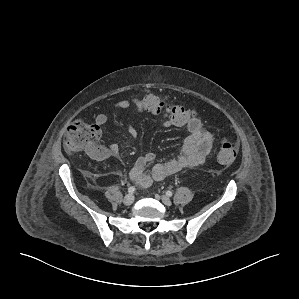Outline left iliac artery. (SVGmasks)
I'll list each match as a JSON object with an SVG mask.
<instances>
[{"label": "left iliac artery", "instance_id": "obj_1", "mask_svg": "<svg viewBox=\"0 0 299 299\" xmlns=\"http://www.w3.org/2000/svg\"><path fill=\"white\" fill-rule=\"evenodd\" d=\"M166 195L169 196V197H171L172 196V192L168 190V191H166Z\"/></svg>", "mask_w": 299, "mask_h": 299}]
</instances>
